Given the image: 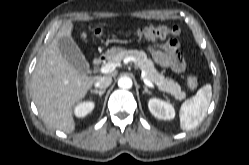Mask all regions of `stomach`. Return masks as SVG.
Masks as SVG:
<instances>
[{
    "instance_id": "obj_1",
    "label": "stomach",
    "mask_w": 249,
    "mask_h": 165,
    "mask_svg": "<svg viewBox=\"0 0 249 165\" xmlns=\"http://www.w3.org/2000/svg\"><path fill=\"white\" fill-rule=\"evenodd\" d=\"M120 51H122V48H120V47H112V48H110V49H108L106 51L105 57L106 58H111L112 56L119 53Z\"/></svg>"
}]
</instances>
